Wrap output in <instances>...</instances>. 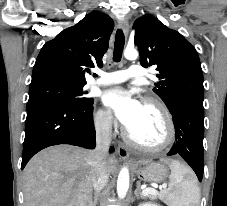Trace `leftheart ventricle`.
<instances>
[{
    "mask_svg": "<svg viewBox=\"0 0 227 206\" xmlns=\"http://www.w3.org/2000/svg\"><path fill=\"white\" fill-rule=\"evenodd\" d=\"M129 132L139 143L155 145L163 140L165 126L160 113L155 108L142 104L141 113Z\"/></svg>",
    "mask_w": 227,
    "mask_h": 206,
    "instance_id": "obj_1",
    "label": "left heart ventricle"
}]
</instances>
